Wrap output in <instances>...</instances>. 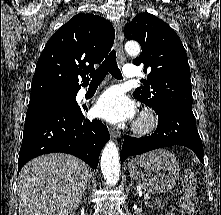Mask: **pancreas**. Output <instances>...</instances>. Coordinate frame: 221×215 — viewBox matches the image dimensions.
Instances as JSON below:
<instances>
[{"label":"pancreas","instance_id":"1","mask_svg":"<svg viewBox=\"0 0 221 215\" xmlns=\"http://www.w3.org/2000/svg\"><path fill=\"white\" fill-rule=\"evenodd\" d=\"M152 203H154L155 204V206H157V207H160L161 205H163L164 204V202L161 200V199H155V200H153V201H151V204Z\"/></svg>","mask_w":221,"mask_h":215}]
</instances>
